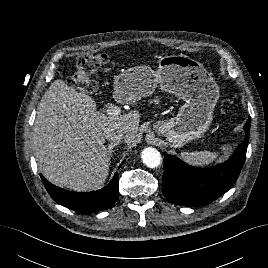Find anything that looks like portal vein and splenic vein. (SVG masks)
<instances>
[{
	"instance_id": "18ae733b",
	"label": "portal vein and splenic vein",
	"mask_w": 268,
	"mask_h": 268,
	"mask_svg": "<svg viewBox=\"0 0 268 268\" xmlns=\"http://www.w3.org/2000/svg\"><path fill=\"white\" fill-rule=\"evenodd\" d=\"M106 114L112 117H116L118 115L121 114V108L118 106H109L106 110H105Z\"/></svg>"
}]
</instances>
